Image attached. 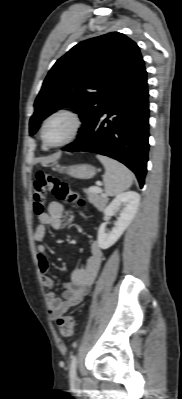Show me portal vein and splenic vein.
<instances>
[{"mask_svg":"<svg viewBox=\"0 0 182 399\" xmlns=\"http://www.w3.org/2000/svg\"><path fill=\"white\" fill-rule=\"evenodd\" d=\"M92 191H96V192H102V189L99 187L94 188Z\"/></svg>","mask_w":182,"mask_h":399,"instance_id":"18ae733b","label":"portal vein and splenic vein"}]
</instances>
